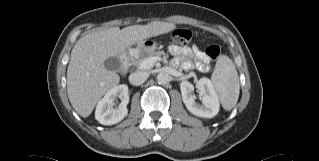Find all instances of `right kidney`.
Segmentation results:
<instances>
[{"instance_id":"obj_1","label":"right kidney","mask_w":319,"mask_h":161,"mask_svg":"<svg viewBox=\"0 0 319 161\" xmlns=\"http://www.w3.org/2000/svg\"><path fill=\"white\" fill-rule=\"evenodd\" d=\"M117 98L121 99V103L117 108H113L114 102ZM128 102L129 95L127 85L121 84L113 87L98 102L95 110V119L103 125L119 123L128 114Z\"/></svg>"}]
</instances>
